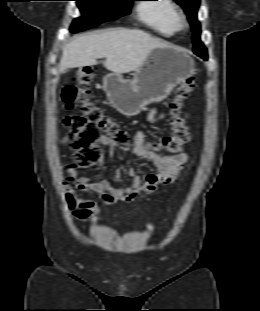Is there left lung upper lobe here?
<instances>
[{"label":"left lung upper lobe","instance_id":"obj_1","mask_svg":"<svg viewBox=\"0 0 260 311\" xmlns=\"http://www.w3.org/2000/svg\"><path fill=\"white\" fill-rule=\"evenodd\" d=\"M175 1L184 8L190 20V24L193 27L194 52L207 55L206 48L200 41V25L196 18L200 0H175Z\"/></svg>","mask_w":260,"mask_h":311}]
</instances>
